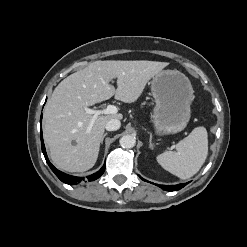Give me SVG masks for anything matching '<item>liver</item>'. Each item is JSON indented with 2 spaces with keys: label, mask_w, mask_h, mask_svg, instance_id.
<instances>
[{
  "label": "liver",
  "mask_w": 247,
  "mask_h": 247,
  "mask_svg": "<svg viewBox=\"0 0 247 247\" xmlns=\"http://www.w3.org/2000/svg\"><path fill=\"white\" fill-rule=\"evenodd\" d=\"M169 63L157 61H95L62 80L54 89L43 113L44 141L53 164L68 172H85L98 158L105 125L122 114L99 115L93 124L85 107L115 99L135 102L147 82ZM117 79V89L110 85ZM75 142V144H73Z\"/></svg>",
  "instance_id": "6515ba94"
}]
</instances>
